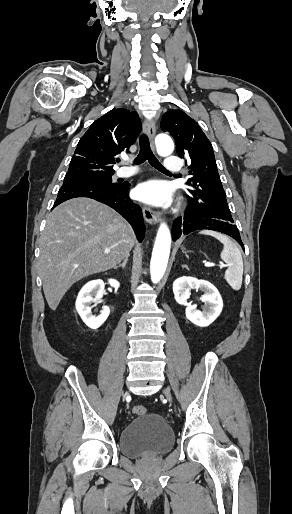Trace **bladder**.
I'll return each instance as SVG.
<instances>
[{"instance_id":"1","label":"bladder","mask_w":292,"mask_h":514,"mask_svg":"<svg viewBox=\"0 0 292 514\" xmlns=\"http://www.w3.org/2000/svg\"><path fill=\"white\" fill-rule=\"evenodd\" d=\"M175 436L166 420L157 413L132 419L121 431L119 448L130 458L148 457L169 451Z\"/></svg>"}]
</instances>
